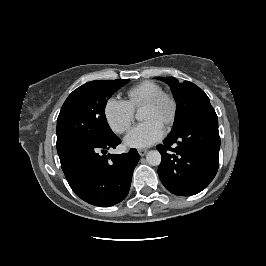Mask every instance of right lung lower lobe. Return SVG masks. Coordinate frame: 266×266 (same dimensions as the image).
Wrapping results in <instances>:
<instances>
[{"label":"right lung lower lobe","mask_w":266,"mask_h":266,"mask_svg":"<svg viewBox=\"0 0 266 266\" xmlns=\"http://www.w3.org/2000/svg\"><path fill=\"white\" fill-rule=\"evenodd\" d=\"M120 143L121 140L113 134L92 145L76 147L60 158L70 187L82 200L108 207L127 196L140 155L136 149L106 155L107 150L115 149Z\"/></svg>","instance_id":"right-lung-lower-lobe-1"}]
</instances>
